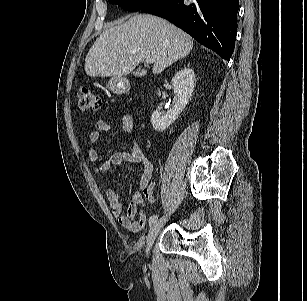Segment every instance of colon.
I'll list each match as a JSON object with an SVG mask.
<instances>
[{"label": "colon", "mask_w": 307, "mask_h": 301, "mask_svg": "<svg viewBox=\"0 0 307 301\" xmlns=\"http://www.w3.org/2000/svg\"><path fill=\"white\" fill-rule=\"evenodd\" d=\"M78 106L85 112H98L101 107L99 96L91 89L83 88L78 92Z\"/></svg>", "instance_id": "1"}]
</instances>
